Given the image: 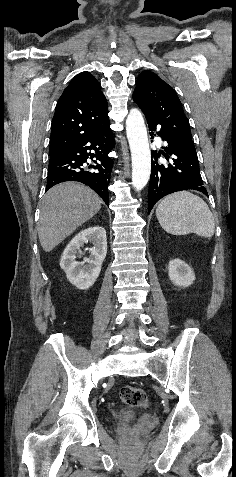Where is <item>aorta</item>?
I'll use <instances>...</instances> for the list:
<instances>
[{
    "instance_id": "762f6f07",
    "label": "aorta",
    "mask_w": 236,
    "mask_h": 477,
    "mask_svg": "<svg viewBox=\"0 0 236 477\" xmlns=\"http://www.w3.org/2000/svg\"><path fill=\"white\" fill-rule=\"evenodd\" d=\"M126 134L132 159V185L142 190L150 178L151 152L142 113L132 109L126 119Z\"/></svg>"
}]
</instances>
